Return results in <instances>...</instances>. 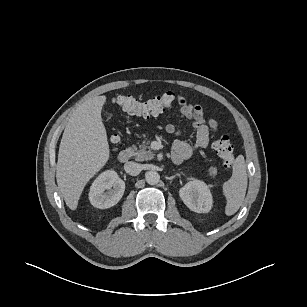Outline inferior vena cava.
<instances>
[{
  "label": "inferior vena cava",
  "mask_w": 307,
  "mask_h": 307,
  "mask_svg": "<svg viewBox=\"0 0 307 307\" xmlns=\"http://www.w3.org/2000/svg\"><path fill=\"white\" fill-rule=\"evenodd\" d=\"M124 169L128 174L137 176L142 171V166L139 163L129 161L125 163Z\"/></svg>",
  "instance_id": "obj_1"
}]
</instances>
